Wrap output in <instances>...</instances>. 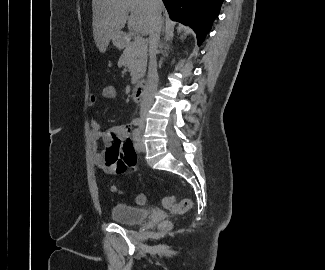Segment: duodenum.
Listing matches in <instances>:
<instances>
[{
	"mask_svg": "<svg viewBox=\"0 0 325 270\" xmlns=\"http://www.w3.org/2000/svg\"><path fill=\"white\" fill-rule=\"evenodd\" d=\"M145 88L146 85L144 82H140L135 85L132 96H133V100L136 103H141L143 101L145 95Z\"/></svg>",
	"mask_w": 325,
	"mask_h": 270,
	"instance_id": "duodenum-1",
	"label": "duodenum"
}]
</instances>
